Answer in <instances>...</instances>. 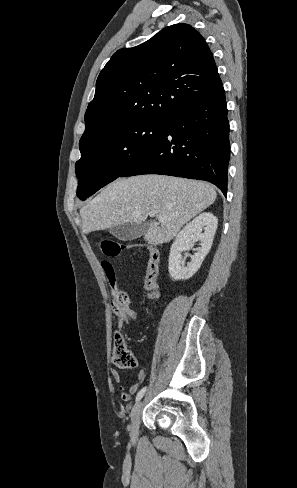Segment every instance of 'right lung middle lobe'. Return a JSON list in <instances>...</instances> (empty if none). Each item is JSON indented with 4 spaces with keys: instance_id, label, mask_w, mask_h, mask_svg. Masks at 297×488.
Here are the masks:
<instances>
[{
    "instance_id": "obj_1",
    "label": "right lung middle lobe",
    "mask_w": 297,
    "mask_h": 488,
    "mask_svg": "<svg viewBox=\"0 0 297 488\" xmlns=\"http://www.w3.org/2000/svg\"><path fill=\"white\" fill-rule=\"evenodd\" d=\"M167 119H148L118 128L81 149L75 164L77 196L85 200L120 177L158 139Z\"/></svg>"
}]
</instances>
